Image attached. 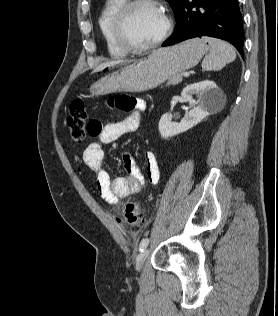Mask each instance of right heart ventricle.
<instances>
[{
  "label": "right heart ventricle",
  "instance_id": "e07e8e85",
  "mask_svg": "<svg viewBox=\"0 0 278 316\" xmlns=\"http://www.w3.org/2000/svg\"><path fill=\"white\" fill-rule=\"evenodd\" d=\"M127 0H106L98 17L99 29L109 54L113 57H122L127 51L117 42L113 21L116 13Z\"/></svg>",
  "mask_w": 278,
  "mask_h": 316
}]
</instances>
